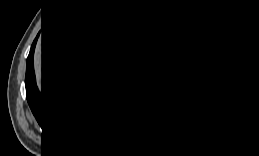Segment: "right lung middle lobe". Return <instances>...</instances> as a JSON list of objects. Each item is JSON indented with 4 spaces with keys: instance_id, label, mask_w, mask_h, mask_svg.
<instances>
[{
    "instance_id": "right-lung-middle-lobe-1",
    "label": "right lung middle lobe",
    "mask_w": 259,
    "mask_h": 156,
    "mask_svg": "<svg viewBox=\"0 0 259 156\" xmlns=\"http://www.w3.org/2000/svg\"><path fill=\"white\" fill-rule=\"evenodd\" d=\"M90 3H92V4H97L98 3V1L97 0H88ZM63 16H64V13H63V11H62V14H61V17H62V24H63ZM87 25L88 26H91L92 25V23L91 22H87Z\"/></svg>"
}]
</instances>
